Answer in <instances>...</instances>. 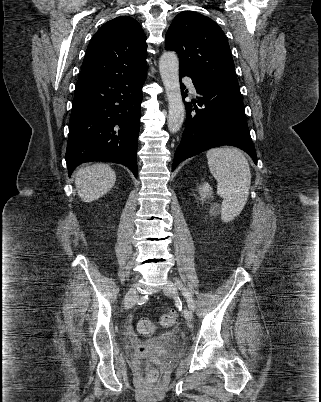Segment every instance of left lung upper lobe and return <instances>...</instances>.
<instances>
[{
	"label": "left lung upper lobe",
	"instance_id": "left-lung-upper-lobe-1",
	"mask_svg": "<svg viewBox=\"0 0 321 402\" xmlns=\"http://www.w3.org/2000/svg\"><path fill=\"white\" fill-rule=\"evenodd\" d=\"M165 44L178 54L179 71L195 78L237 81L227 38L212 19L191 11L179 13Z\"/></svg>",
	"mask_w": 321,
	"mask_h": 402
}]
</instances>
